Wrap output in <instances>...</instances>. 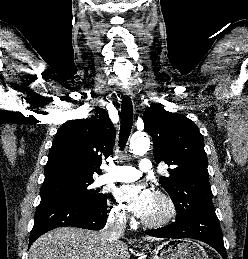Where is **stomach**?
<instances>
[{
    "mask_svg": "<svg viewBox=\"0 0 248 259\" xmlns=\"http://www.w3.org/2000/svg\"><path fill=\"white\" fill-rule=\"evenodd\" d=\"M152 252L153 259H208L205 250L191 240H169Z\"/></svg>",
    "mask_w": 248,
    "mask_h": 259,
    "instance_id": "0dacf381",
    "label": "stomach"
}]
</instances>
